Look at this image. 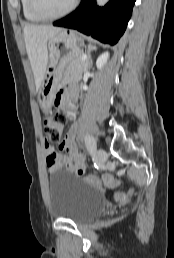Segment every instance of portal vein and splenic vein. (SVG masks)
Here are the masks:
<instances>
[{"label":"portal vein and splenic vein","mask_w":174,"mask_h":258,"mask_svg":"<svg viewBox=\"0 0 174 258\" xmlns=\"http://www.w3.org/2000/svg\"><path fill=\"white\" fill-rule=\"evenodd\" d=\"M82 60H83V61L85 60V57H84V56H82Z\"/></svg>","instance_id":"obj_1"}]
</instances>
